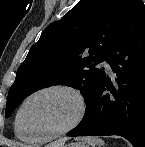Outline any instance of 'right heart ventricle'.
<instances>
[{"instance_id":"e07e8e85","label":"right heart ventricle","mask_w":145,"mask_h":147,"mask_svg":"<svg viewBox=\"0 0 145 147\" xmlns=\"http://www.w3.org/2000/svg\"><path fill=\"white\" fill-rule=\"evenodd\" d=\"M15 134L16 136L23 140V141H27V142H30L32 140H30V138L27 136V134L23 133L21 130H19L16 126H15Z\"/></svg>"}]
</instances>
